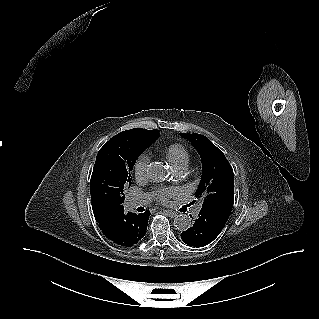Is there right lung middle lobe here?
Instances as JSON below:
<instances>
[{
	"mask_svg": "<svg viewBox=\"0 0 319 319\" xmlns=\"http://www.w3.org/2000/svg\"><path fill=\"white\" fill-rule=\"evenodd\" d=\"M143 151L116 135L103 145L90 181L94 213L122 206L124 191L131 185L130 172Z\"/></svg>",
	"mask_w": 319,
	"mask_h": 319,
	"instance_id": "obj_1",
	"label": "right lung middle lobe"
}]
</instances>
